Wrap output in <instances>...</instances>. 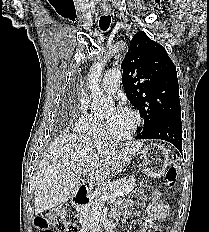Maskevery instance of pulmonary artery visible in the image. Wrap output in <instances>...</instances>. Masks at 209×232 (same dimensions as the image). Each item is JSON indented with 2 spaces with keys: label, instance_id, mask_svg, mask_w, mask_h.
Segmentation results:
<instances>
[{
  "label": "pulmonary artery",
  "instance_id": "e3ab8cb5",
  "mask_svg": "<svg viewBox=\"0 0 209 232\" xmlns=\"http://www.w3.org/2000/svg\"><path fill=\"white\" fill-rule=\"evenodd\" d=\"M121 71L118 68L109 69L103 79L102 87L107 93H115L120 86Z\"/></svg>",
  "mask_w": 209,
  "mask_h": 232
}]
</instances>
